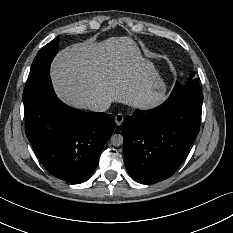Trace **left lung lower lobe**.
<instances>
[{"label":"left lung lower lobe","instance_id":"left-lung-lower-lobe-1","mask_svg":"<svg viewBox=\"0 0 233 233\" xmlns=\"http://www.w3.org/2000/svg\"><path fill=\"white\" fill-rule=\"evenodd\" d=\"M202 102L201 91L174 87L160 106L124 118V162L135 181L157 183L178 170L199 133Z\"/></svg>","mask_w":233,"mask_h":233}]
</instances>
